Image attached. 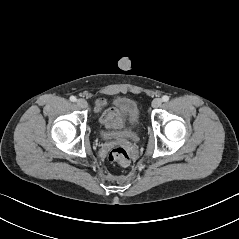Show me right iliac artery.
Wrapping results in <instances>:
<instances>
[{
  "instance_id": "1",
  "label": "right iliac artery",
  "mask_w": 239,
  "mask_h": 239,
  "mask_svg": "<svg viewBox=\"0 0 239 239\" xmlns=\"http://www.w3.org/2000/svg\"><path fill=\"white\" fill-rule=\"evenodd\" d=\"M70 101L75 102L76 101V97L75 96H71L70 97Z\"/></svg>"
}]
</instances>
